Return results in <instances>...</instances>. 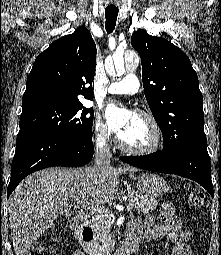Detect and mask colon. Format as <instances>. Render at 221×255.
I'll return each instance as SVG.
<instances>
[{
    "instance_id": "1",
    "label": "colon",
    "mask_w": 221,
    "mask_h": 255,
    "mask_svg": "<svg viewBox=\"0 0 221 255\" xmlns=\"http://www.w3.org/2000/svg\"><path fill=\"white\" fill-rule=\"evenodd\" d=\"M188 203L194 207H200L204 204L202 193H192L188 198ZM29 255H54L53 249L49 245L40 244L35 246Z\"/></svg>"
}]
</instances>
